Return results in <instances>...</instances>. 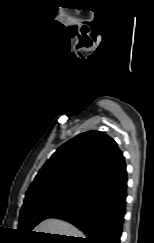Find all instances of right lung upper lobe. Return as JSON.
I'll list each match as a JSON object with an SVG mask.
<instances>
[{"label": "right lung upper lobe", "mask_w": 154, "mask_h": 243, "mask_svg": "<svg viewBox=\"0 0 154 243\" xmlns=\"http://www.w3.org/2000/svg\"><path fill=\"white\" fill-rule=\"evenodd\" d=\"M125 172L116 142L103 132L88 131L56 150L29 186L24 202L53 195L88 199Z\"/></svg>", "instance_id": "1"}]
</instances>
